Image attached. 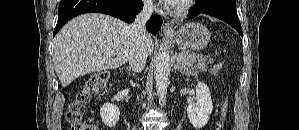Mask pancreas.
I'll use <instances>...</instances> for the list:
<instances>
[{
    "instance_id": "1",
    "label": "pancreas",
    "mask_w": 299,
    "mask_h": 130,
    "mask_svg": "<svg viewBox=\"0 0 299 130\" xmlns=\"http://www.w3.org/2000/svg\"><path fill=\"white\" fill-rule=\"evenodd\" d=\"M180 54L183 55L180 66L182 70H185L188 73H193L194 69L206 70L207 64L214 62L213 59L208 61L207 57H204L201 54L196 55L189 51L183 50Z\"/></svg>"
}]
</instances>
